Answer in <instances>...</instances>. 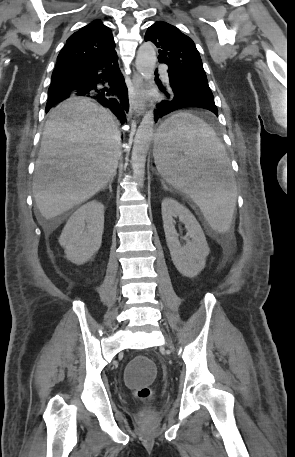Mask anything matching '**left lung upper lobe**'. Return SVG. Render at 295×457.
Segmentation results:
<instances>
[{
    "instance_id": "left-lung-upper-lobe-1",
    "label": "left lung upper lobe",
    "mask_w": 295,
    "mask_h": 457,
    "mask_svg": "<svg viewBox=\"0 0 295 457\" xmlns=\"http://www.w3.org/2000/svg\"><path fill=\"white\" fill-rule=\"evenodd\" d=\"M145 41H151L159 48V61L177 72L179 82L190 89H210L194 42L177 27L163 21L155 22L147 29Z\"/></svg>"
}]
</instances>
